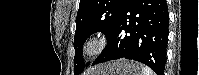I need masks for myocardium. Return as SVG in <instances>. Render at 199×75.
Returning a JSON list of instances; mask_svg holds the SVG:
<instances>
[{
  "mask_svg": "<svg viewBox=\"0 0 199 75\" xmlns=\"http://www.w3.org/2000/svg\"><path fill=\"white\" fill-rule=\"evenodd\" d=\"M109 39L103 32H98L86 38L82 45V55L85 58L98 56L108 45Z\"/></svg>",
  "mask_w": 199,
  "mask_h": 75,
  "instance_id": "myocardium-1",
  "label": "myocardium"
}]
</instances>
